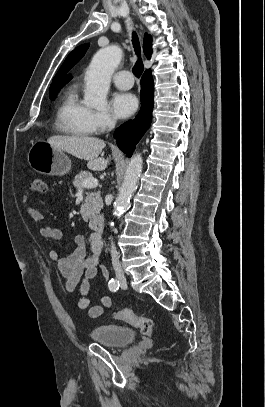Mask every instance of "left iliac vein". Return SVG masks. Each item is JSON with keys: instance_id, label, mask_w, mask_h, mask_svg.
Masks as SVG:
<instances>
[{"instance_id": "obj_1", "label": "left iliac vein", "mask_w": 265, "mask_h": 407, "mask_svg": "<svg viewBox=\"0 0 265 407\" xmlns=\"http://www.w3.org/2000/svg\"><path fill=\"white\" fill-rule=\"evenodd\" d=\"M121 288H122V289H126V288H127V283H126L125 280H124V281H121Z\"/></svg>"}]
</instances>
